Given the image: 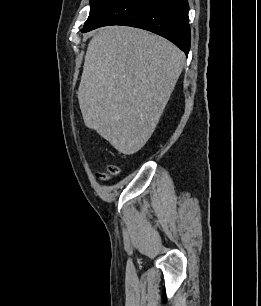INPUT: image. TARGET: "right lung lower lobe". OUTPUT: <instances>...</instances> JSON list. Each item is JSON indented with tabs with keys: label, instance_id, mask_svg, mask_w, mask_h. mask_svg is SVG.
<instances>
[{
	"label": "right lung lower lobe",
	"instance_id": "right-lung-lower-lobe-1",
	"mask_svg": "<svg viewBox=\"0 0 261 306\" xmlns=\"http://www.w3.org/2000/svg\"><path fill=\"white\" fill-rule=\"evenodd\" d=\"M188 8L187 0H113L81 31L107 25L137 27L165 37L188 55Z\"/></svg>",
	"mask_w": 261,
	"mask_h": 306
}]
</instances>
